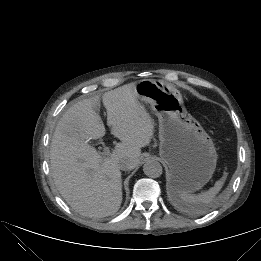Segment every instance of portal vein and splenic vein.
<instances>
[{
	"label": "portal vein and splenic vein",
	"mask_w": 261,
	"mask_h": 261,
	"mask_svg": "<svg viewBox=\"0 0 261 261\" xmlns=\"http://www.w3.org/2000/svg\"><path fill=\"white\" fill-rule=\"evenodd\" d=\"M102 154L108 156L110 154L109 147H104Z\"/></svg>",
	"instance_id": "obj_1"
}]
</instances>
